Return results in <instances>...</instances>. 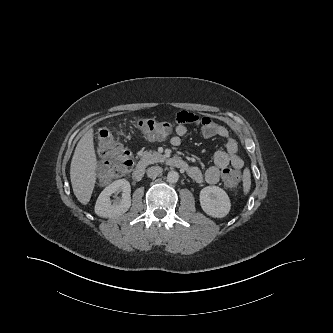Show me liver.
Masks as SVG:
<instances>
[{"mask_svg": "<svg viewBox=\"0 0 333 333\" xmlns=\"http://www.w3.org/2000/svg\"><path fill=\"white\" fill-rule=\"evenodd\" d=\"M93 129H89L79 140L70 166L73 192L79 202L90 201L95 183L97 158L94 149Z\"/></svg>", "mask_w": 333, "mask_h": 333, "instance_id": "obj_1", "label": "liver"}]
</instances>
